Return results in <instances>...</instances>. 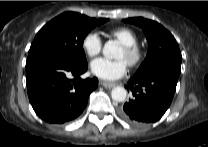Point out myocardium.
Masks as SVG:
<instances>
[{
    "instance_id": "myocardium-1",
    "label": "myocardium",
    "mask_w": 208,
    "mask_h": 147,
    "mask_svg": "<svg viewBox=\"0 0 208 147\" xmlns=\"http://www.w3.org/2000/svg\"><path fill=\"white\" fill-rule=\"evenodd\" d=\"M123 49L125 50L128 57V65L130 67L139 66L145 57L144 49L138 44L133 45H123Z\"/></svg>"
}]
</instances>
